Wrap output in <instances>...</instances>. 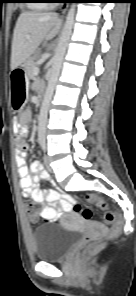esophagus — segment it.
<instances>
[{"mask_svg":"<svg viewBox=\"0 0 136 296\" xmlns=\"http://www.w3.org/2000/svg\"><path fill=\"white\" fill-rule=\"evenodd\" d=\"M67 8H68V5H67V4H66V5H63V6L61 7V13H62V14H65Z\"/></svg>","mask_w":136,"mask_h":296,"instance_id":"esophagus-1","label":"esophagus"}]
</instances>
